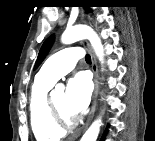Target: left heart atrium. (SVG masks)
I'll list each match as a JSON object with an SVG mask.
<instances>
[{"label": "left heart atrium", "instance_id": "left-heart-atrium-1", "mask_svg": "<svg viewBox=\"0 0 155 141\" xmlns=\"http://www.w3.org/2000/svg\"><path fill=\"white\" fill-rule=\"evenodd\" d=\"M91 83L85 73H79L69 80L65 92L66 109L71 115L82 113L89 105Z\"/></svg>", "mask_w": 155, "mask_h": 141}]
</instances>
